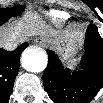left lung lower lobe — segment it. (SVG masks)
Masks as SVG:
<instances>
[{
  "mask_svg": "<svg viewBox=\"0 0 103 103\" xmlns=\"http://www.w3.org/2000/svg\"><path fill=\"white\" fill-rule=\"evenodd\" d=\"M82 70L71 73L58 56L48 50L49 62L43 74L44 88L55 103H89L103 84V42L94 24L88 26Z\"/></svg>",
  "mask_w": 103,
  "mask_h": 103,
  "instance_id": "1",
  "label": "left lung lower lobe"
}]
</instances>
